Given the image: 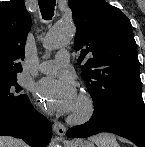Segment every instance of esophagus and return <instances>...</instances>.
Listing matches in <instances>:
<instances>
[{"mask_svg":"<svg viewBox=\"0 0 145 147\" xmlns=\"http://www.w3.org/2000/svg\"><path fill=\"white\" fill-rule=\"evenodd\" d=\"M53 131L62 139L66 133V127L61 122L55 121L53 124Z\"/></svg>","mask_w":145,"mask_h":147,"instance_id":"obj_1","label":"esophagus"}]
</instances>
